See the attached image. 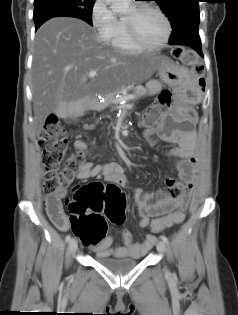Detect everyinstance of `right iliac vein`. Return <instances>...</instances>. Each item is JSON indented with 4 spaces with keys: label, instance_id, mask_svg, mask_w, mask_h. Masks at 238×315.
I'll list each match as a JSON object with an SVG mask.
<instances>
[{
    "label": "right iliac vein",
    "instance_id": "obj_1",
    "mask_svg": "<svg viewBox=\"0 0 238 315\" xmlns=\"http://www.w3.org/2000/svg\"><path fill=\"white\" fill-rule=\"evenodd\" d=\"M69 248H70V251L72 253H75L77 248H78V244H77V241L76 239H71L70 240V243H69Z\"/></svg>",
    "mask_w": 238,
    "mask_h": 315
}]
</instances>
